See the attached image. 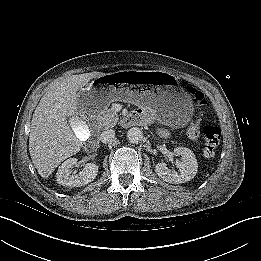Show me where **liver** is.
<instances>
[{
    "label": "liver",
    "instance_id": "liver-1",
    "mask_svg": "<svg viewBox=\"0 0 261 261\" xmlns=\"http://www.w3.org/2000/svg\"><path fill=\"white\" fill-rule=\"evenodd\" d=\"M103 72L72 75L50 85L36 107L29 135V152L39 175L49 177L65 159L80 151L82 140L67 119L78 114V91Z\"/></svg>",
    "mask_w": 261,
    "mask_h": 261
}]
</instances>
